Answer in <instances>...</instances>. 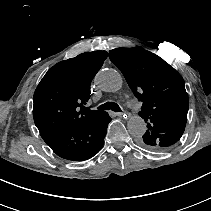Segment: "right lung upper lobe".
I'll return each mask as SVG.
<instances>
[{"label":"right lung upper lobe","mask_w":211,"mask_h":211,"mask_svg":"<svg viewBox=\"0 0 211 211\" xmlns=\"http://www.w3.org/2000/svg\"><path fill=\"white\" fill-rule=\"evenodd\" d=\"M108 53L86 52L54 65L42 78L33 97V117L42 138L78 126L102 111L84 105L90 84Z\"/></svg>","instance_id":"1"}]
</instances>
